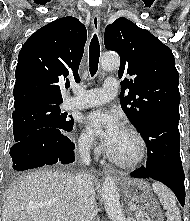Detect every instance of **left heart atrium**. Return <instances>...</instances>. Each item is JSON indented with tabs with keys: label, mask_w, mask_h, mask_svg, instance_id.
<instances>
[{
	"label": "left heart atrium",
	"mask_w": 190,
	"mask_h": 221,
	"mask_svg": "<svg viewBox=\"0 0 190 221\" xmlns=\"http://www.w3.org/2000/svg\"><path fill=\"white\" fill-rule=\"evenodd\" d=\"M84 124L90 133L99 137L108 148L122 131L119 117L110 111L95 110L87 114Z\"/></svg>",
	"instance_id": "39dd6f15"
}]
</instances>
